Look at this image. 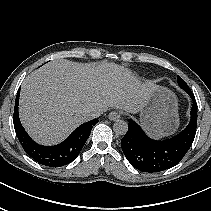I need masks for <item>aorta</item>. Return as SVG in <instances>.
<instances>
[{
	"instance_id": "1",
	"label": "aorta",
	"mask_w": 211,
	"mask_h": 211,
	"mask_svg": "<svg viewBox=\"0 0 211 211\" xmlns=\"http://www.w3.org/2000/svg\"><path fill=\"white\" fill-rule=\"evenodd\" d=\"M113 130L116 134L125 135L126 132L128 131V124L124 120H117L113 124Z\"/></svg>"
}]
</instances>
